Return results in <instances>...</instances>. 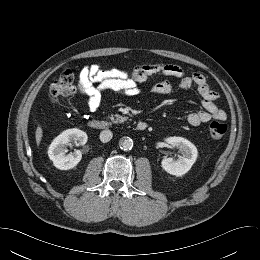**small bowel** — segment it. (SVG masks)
Here are the masks:
<instances>
[{"label":"small bowel","mask_w":260,"mask_h":260,"mask_svg":"<svg viewBox=\"0 0 260 260\" xmlns=\"http://www.w3.org/2000/svg\"><path fill=\"white\" fill-rule=\"evenodd\" d=\"M156 74L174 77L178 82L175 85L169 80H163L154 84L151 92L155 95L169 94L174 89L186 90L193 86L197 87L204 110L188 115L187 121L190 125L198 126L212 119L219 121L226 119V113L216 104L218 94L210 88L205 76L199 72L188 75L175 64L143 65L137 67L132 73L120 69H102L99 65L93 64L80 70L78 89L86 99L88 111L94 113L100 107L104 91L136 96L141 91L140 85Z\"/></svg>","instance_id":"c3829d8e"}]
</instances>
